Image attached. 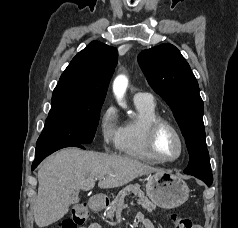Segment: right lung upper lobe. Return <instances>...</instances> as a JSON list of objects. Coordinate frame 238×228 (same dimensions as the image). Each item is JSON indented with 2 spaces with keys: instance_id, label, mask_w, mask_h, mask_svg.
Masks as SVG:
<instances>
[{
  "instance_id": "1",
  "label": "right lung upper lobe",
  "mask_w": 238,
  "mask_h": 228,
  "mask_svg": "<svg viewBox=\"0 0 238 228\" xmlns=\"http://www.w3.org/2000/svg\"><path fill=\"white\" fill-rule=\"evenodd\" d=\"M117 60L116 48L98 41L91 42L61 75L53 91L50 112L102 105Z\"/></svg>"
}]
</instances>
